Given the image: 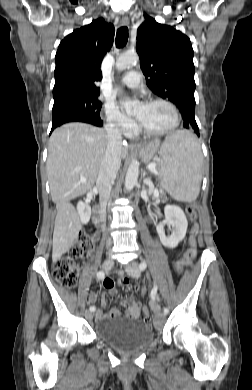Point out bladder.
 I'll use <instances>...</instances> for the list:
<instances>
[{"mask_svg":"<svg viewBox=\"0 0 252 390\" xmlns=\"http://www.w3.org/2000/svg\"><path fill=\"white\" fill-rule=\"evenodd\" d=\"M94 333L100 341L124 353L144 349L154 340L151 327L127 319L97 321Z\"/></svg>","mask_w":252,"mask_h":390,"instance_id":"bladder-1","label":"bladder"}]
</instances>
